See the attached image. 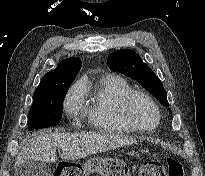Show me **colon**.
Returning a JSON list of instances; mask_svg holds the SVG:
<instances>
[{"label": "colon", "mask_w": 205, "mask_h": 176, "mask_svg": "<svg viewBox=\"0 0 205 176\" xmlns=\"http://www.w3.org/2000/svg\"><path fill=\"white\" fill-rule=\"evenodd\" d=\"M89 172L103 176H184L182 164L174 158L167 160V168L156 161H145L129 166L121 158L98 157L85 163L60 160L53 176H87Z\"/></svg>", "instance_id": "colon-1"}]
</instances>
